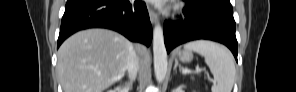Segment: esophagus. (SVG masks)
I'll return each mask as SVG.
<instances>
[{"label":"esophagus","mask_w":296,"mask_h":92,"mask_svg":"<svg viewBox=\"0 0 296 92\" xmlns=\"http://www.w3.org/2000/svg\"><path fill=\"white\" fill-rule=\"evenodd\" d=\"M148 13H149L150 21L153 24L156 23L157 20H158L157 14L155 13V11L150 6H148Z\"/></svg>","instance_id":"34e87169"}]
</instances>
